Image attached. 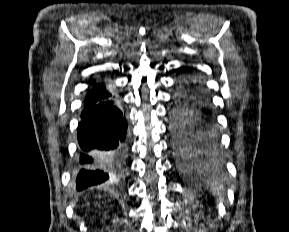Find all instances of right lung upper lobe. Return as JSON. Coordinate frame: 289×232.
I'll list each match as a JSON object with an SVG mask.
<instances>
[{
    "label": "right lung upper lobe",
    "mask_w": 289,
    "mask_h": 232,
    "mask_svg": "<svg viewBox=\"0 0 289 232\" xmlns=\"http://www.w3.org/2000/svg\"><path fill=\"white\" fill-rule=\"evenodd\" d=\"M113 96V93L105 84H95L86 95V100H97Z\"/></svg>",
    "instance_id": "cb5924a9"
}]
</instances>
